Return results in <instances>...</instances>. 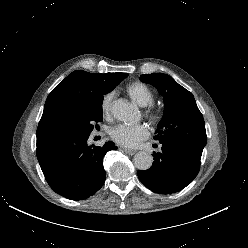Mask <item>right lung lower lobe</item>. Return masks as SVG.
<instances>
[{
	"mask_svg": "<svg viewBox=\"0 0 248 248\" xmlns=\"http://www.w3.org/2000/svg\"><path fill=\"white\" fill-rule=\"evenodd\" d=\"M90 133L54 128L37 135V158L50 187L71 200L94 195L104 184L103 157L117 147L89 145Z\"/></svg>",
	"mask_w": 248,
	"mask_h": 248,
	"instance_id": "obj_1",
	"label": "right lung lower lobe"
}]
</instances>
